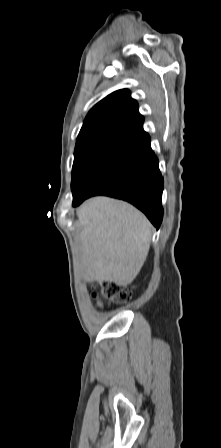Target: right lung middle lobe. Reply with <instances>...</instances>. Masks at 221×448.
Returning a JSON list of instances; mask_svg holds the SVG:
<instances>
[{
    "instance_id": "obj_1",
    "label": "right lung middle lobe",
    "mask_w": 221,
    "mask_h": 448,
    "mask_svg": "<svg viewBox=\"0 0 221 448\" xmlns=\"http://www.w3.org/2000/svg\"><path fill=\"white\" fill-rule=\"evenodd\" d=\"M113 148L110 145H92L75 149L71 181L73 199L93 170Z\"/></svg>"
}]
</instances>
